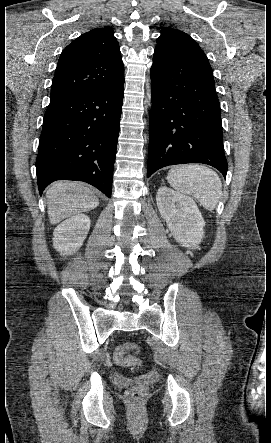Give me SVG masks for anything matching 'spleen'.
<instances>
[{
    "instance_id": "obj_1",
    "label": "spleen",
    "mask_w": 271,
    "mask_h": 443,
    "mask_svg": "<svg viewBox=\"0 0 271 443\" xmlns=\"http://www.w3.org/2000/svg\"><path fill=\"white\" fill-rule=\"evenodd\" d=\"M167 180L171 188L181 194L193 196L205 210H215L222 194L218 174L206 166H173L168 172Z\"/></svg>"
}]
</instances>
